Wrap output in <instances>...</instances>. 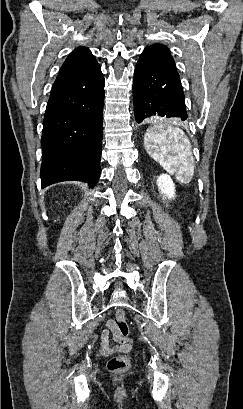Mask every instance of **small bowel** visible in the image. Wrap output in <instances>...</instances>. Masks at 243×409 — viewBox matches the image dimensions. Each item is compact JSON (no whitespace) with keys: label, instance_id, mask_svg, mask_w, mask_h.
Segmentation results:
<instances>
[{"label":"small bowel","instance_id":"small-bowel-1","mask_svg":"<svg viewBox=\"0 0 243 409\" xmlns=\"http://www.w3.org/2000/svg\"><path fill=\"white\" fill-rule=\"evenodd\" d=\"M113 329H114L113 320H108L106 323V327L101 335V350L106 355L118 353L121 351L125 352L129 350V348L123 343L113 344L111 342V336L113 337L114 340L119 341V339L115 337Z\"/></svg>","mask_w":243,"mask_h":409}]
</instances>
